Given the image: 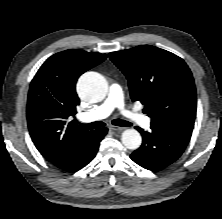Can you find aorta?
I'll list each match as a JSON object with an SVG mask.
<instances>
[{
	"label": "aorta",
	"mask_w": 222,
	"mask_h": 219,
	"mask_svg": "<svg viewBox=\"0 0 222 219\" xmlns=\"http://www.w3.org/2000/svg\"><path fill=\"white\" fill-rule=\"evenodd\" d=\"M108 90L106 79L96 72H86L78 80L77 91L85 101L96 103L102 101ZM123 145L131 150L138 149L142 138L135 129H126L121 137Z\"/></svg>",
	"instance_id": "762f6f07"
}]
</instances>
